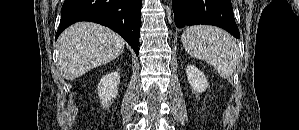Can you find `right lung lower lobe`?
Segmentation results:
<instances>
[{
  "label": "right lung lower lobe",
  "mask_w": 299,
  "mask_h": 130,
  "mask_svg": "<svg viewBox=\"0 0 299 130\" xmlns=\"http://www.w3.org/2000/svg\"><path fill=\"white\" fill-rule=\"evenodd\" d=\"M142 0H65L56 39L78 21L107 26L121 35L138 56Z\"/></svg>",
  "instance_id": "obj_1"
}]
</instances>
